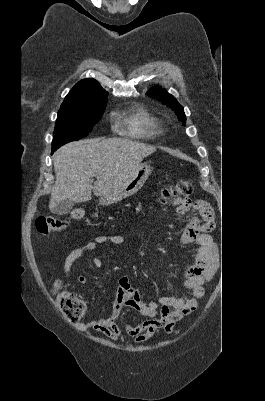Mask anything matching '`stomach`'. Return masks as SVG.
Listing matches in <instances>:
<instances>
[{
  "label": "stomach",
  "instance_id": "obj_1",
  "mask_svg": "<svg viewBox=\"0 0 265 401\" xmlns=\"http://www.w3.org/2000/svg\"><path fill=\"white\" fill-rule=\"evenodd\" d=\"M151 172V166L148 162H140L137 168L133 170L131 176L127 178L126 182H123L121 186L108 192L105 196H101L100 205H112V203H118V201H123V198H128L135 194L141 186H143L145 180H147Z\"/></svg>",
  "mask_w": 265,
  "mask_h": 401
}]
</instances>
